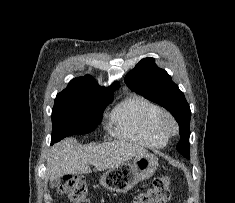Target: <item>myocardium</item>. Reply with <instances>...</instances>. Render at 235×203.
I'll return each instance as SVG.
<instances>
[{"mask_svg":"<svg viewBox=\"0 0 235 203\" xmlns=\"http://www.w3.org/2000/svg\"><path fill=\"white\" fill-rule=\"evenodd\" d=\"M153 127L157 133L164 135L167 138L176 135L178 132V123L176 119L167 111H161L157 115Z\"/></svg>","mask_w":235,"mask_h":203,"instance_id":"obj_1","label":"myocardium"}]
</instances>
